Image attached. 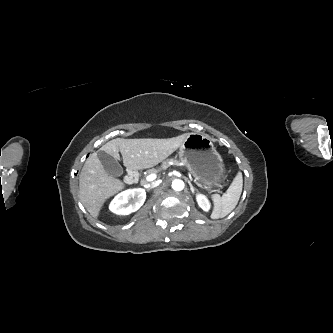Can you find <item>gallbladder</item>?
I'll return each instance as SVG.
<instances>
[{"label": "gallbladder", "instance_id": "1", "mask_svg": "<svg viewBox=\"0 0 333 333\" xmlns=\"http://www.w3.org/2000/svg\"><path fill=\"white\" fill-rule=\"evenodd\" d=\"M97 156L101 161L103 168L109 175L117 177L123 174L122 166L113 156L102 150L97 151Z\"/></svg>", "mask_w": 333, "mask_h": 333}]
</instances>
